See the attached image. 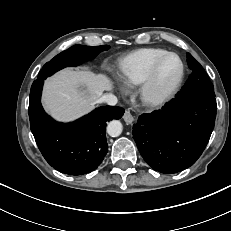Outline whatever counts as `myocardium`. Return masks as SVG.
I'll return each instance as SVG.
<instances>
[{
    "mask_svg": "<svg viewBox=\"0 0 231 231\" xmlns=\"http://www.w3.org/2000/svg\"><path fill=\"white\" fill-rule=\"evenodd\" d=\"M171 56L176 57L180 62L181 68H180L179 76L169 88H167L162 92L156 93L154 92L153 87L158 71L161 65L163 64V62ZM184 76H185V64L181 56L174 52H167L153 64L150 71L148 72V74L140 84V89H139L140 101L142 102V104L148 107H157L166 103L179 90V88L183 83Z\"/></svg>",
    "mask_w": 231,
    "mask_h": 231,
    "instance_id": "1",
    "label": "myocardium"
}]
</instances>
